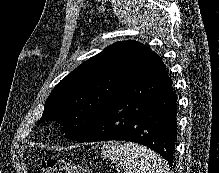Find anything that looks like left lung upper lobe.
I'll return each mask as SVG.
<instances>
[{"instance_id": "1", "label": "left lung upper lobe", "mask_w": 219, "mask_h": 173, "mask_svg": "<svg viewBox=\"0 0 219 173\" xmlns=\"http://www.w3.org/2000/svg\"><path fill=\"white\" fill-rule=\"evenodd\" d=\"M153 53L136 41L108 46L56 85L38 122L56 120L68 139L77 140L112 101L136 82Z\"/></svg>"}]
</instances>
